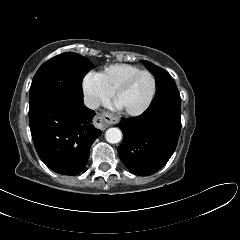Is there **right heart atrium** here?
<instances>
[{"instance_id":"1","label":"right heart atrium","mask_w":240,"mask_h":240,"mask_svg":"<svg viewBox=\"0 0 240 240\" xmlns=\"http://www.w3.org/2000/svg\"><path fill=\"white\" fill-rule=\"evenodd\" d=\"M83 92L92 107L110 100L113 93L101 82L97 74H87L82 81Z\"/></svg>"}]
</instances>
